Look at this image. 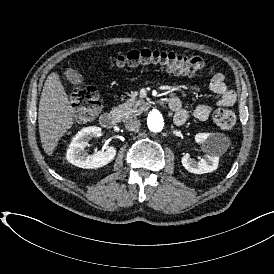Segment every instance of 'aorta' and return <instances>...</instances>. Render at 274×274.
I'll list each match as a JSON object with an SVG mask.
<instances>
[{
	"label": "aorta",
	"instance_id": "762f6f07",
	"mask_svg": "<svg viewBox=\"0 0 274 274\" xmlns=\"http://www.w3.org/2000/svg\"><path fill=\"white\" fill-rule=\"evenodd\" d=\"M147 126L151 132H161L165 126L162 113L156 109L151 110L147 117Z\"/></svg>",
	"mask_w": 274,
	"mask_h": 274
}]
</instances>
